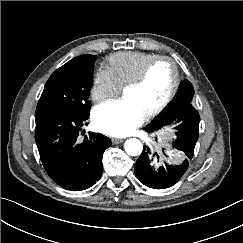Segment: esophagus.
<instances>
[{
  "label": "esophagus",
  "mask_w": 243,
  "mask_h": 243,
  "mask_svg": "<svg viewBox=\"0 0 243 243\" xmlns=\"http://www.w3.org/2000/svg\"><path fill=\"white\" fill-rule=\"evenodd\" d=\"M111 140L113 144H120L123 142V139H119V138H112Z\"/></svg>",
  "instance_id": "esophagus-1"
}]
</instances>
